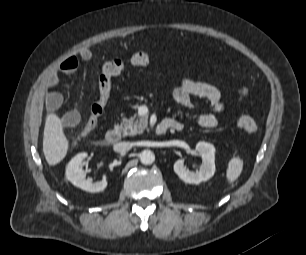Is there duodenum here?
<instances>
[{"label": "duodenum", "mask_w": 306, "mask_h": 255, "mask_svg": "<svg viewBox=\"0 0 306 255\" xmlns=\"http://www.w3.org/2000/svg\"><path fill=\"white\" fill-rule=\"evenodd\" d=\"M180 130L181 129V124L170 120V119H166L164 121H162L161 123H159L156 127H155V133L157 135H164L166 134L169 130ZM120 139V132L117 129H110L106 132L105 134V143L108 145L114 144L116 142H118Z\"/></svg>", "instance_id": "410a0bca"}]
</instances>
